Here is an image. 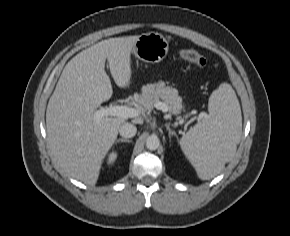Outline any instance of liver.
<instances>
[{
  "instance_id": "liver-1",
  "label": "liver",
  "mask_w": 290,
  "mask_h": 236,
  "mask_svg": "<svg viewBox=\"0 0 290 236\" xmlns=\"http://www.w3.org/2000/svg\"><path fill=\"white\" fill-rule=\"evenodd\" d=\"M139 36L100 41L74 56L64 67L46 110V132L51 152L65 173L94 186L102 162L127 118L93 113L109 100L113 89L105 71L108 61L117 86L131 82V53Z\"/></svg>"
}]
</instances>
